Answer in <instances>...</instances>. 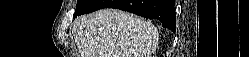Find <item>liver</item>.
<instances>
[{
	"label": "liver",
	"instance_id": "liver-1",
	"mask_svg": "<svg viewBox=\"0 0 249 57\" xmlns=\"http://www.w3.org/2000/svg\"><path fill=\"white\" fill-rule=\"evenodd\" d=\"M82 57H152L158 45L157 28L133 14L102 9L75 22Z\"/></svg>",
	"mask_w": 249,
	"mask_h": 57
}]
</instances>
